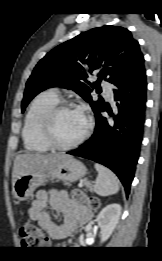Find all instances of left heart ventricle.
I'll return each mask as SVG.
<instances>
[{"instance_id": "left-heart-ventricle-1", "label": "left heart ventricle", "mask_w": 162, "mask_h": 261, "mask_svg": "<svg viewBox=\"0 0 162 261\" xmlns=\"http://www.w3.org/2000/svg\"><path fill=\"white\" fill-rule=\"evenodd\" d=\"M86 128V119L78 110L59 113L54 122V134L58 142L68 144L78 139Z\"/></svg>"}]
</instances>
